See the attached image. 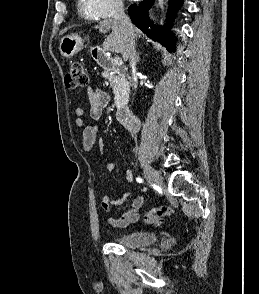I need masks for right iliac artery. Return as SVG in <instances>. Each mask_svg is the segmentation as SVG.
I'll return each instance as SVG.
<instances>
[{
    "label": "right iliac artery",
    "instance_id": "1",
    "mask_svg": "<svg viewBox=\"0 0 259 294\" xmlns=\"http://www.w3.org/2000/svg\"><path fill=\"white\" fill-rule=\"evenodd\" d=\"M137 181L141 183L143 180L141 178H137Z\"/></svg>",
    "mask_w": 259,
    "mask_h": 294
}]
</instances>
